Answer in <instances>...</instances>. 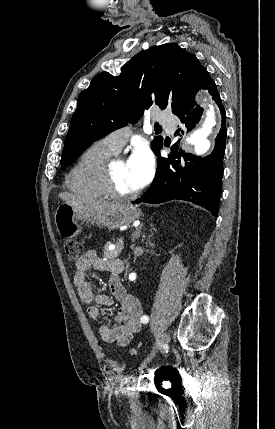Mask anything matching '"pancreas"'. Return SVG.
Returning <instances> with one entry per match:
<instances>
[{"label":"pancreas","instance_id":"1","mask_svg":"<svg viewBox=\"0 0 275 429\" xmlns=\"http://www.w3.org/2000/svg\"><path fill=\"white\" fill-rule=\"evenodd\" d=\"M119 241H120V239L117 241L116 246H115V248L113 250L109 249V245H111L110 242H108L107 244H105L104 251H103V254H104L103 256L105 258L113 259V258L118 257L121 254V252L123 250V247L122 246H118Z\"/></svg>","mask_w":275,"mask_h":429}]
</instances>
